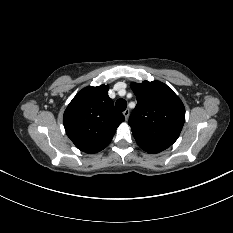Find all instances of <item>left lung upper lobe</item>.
Returning a JSON list of instances; mask_svg holds the SVG:
<instances>
[{"label": "left lung upper lobe", "instance_id": "obj_1", "mask_svg": "<svg viewBox=\"0 0 233 233\" xmlns=\"http://www.w3.org/2000/svg\"><path fill=\"white\" fill-rule=\"evenodd\" d=\"M137 106L129 125L138 145L175 143L185 121V108L179 97L164 83L143 81L131 84Z\"/></svg>", "mask_w": 233, "mask_h": 233}]
</instances>
